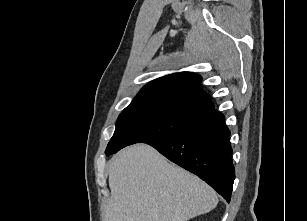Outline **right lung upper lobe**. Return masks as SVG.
<instances>
[{
    "mask_svg": "<svg viewBox=\"0 0 307 221\" xmlns=\"http://www.w3.org/2000/svg\"><path fill=\"white\" fill-rule=\"evenodd\" d=\"M201 77L189 73H174L151 81L144 86L132 102H183L214 109L209 96L200 88Z\"/></svg>",
    "mask_w": 307,
    "mask_h": 221,
    "instance_id": "1",
    "label": "right lung upper lobe"
}]
</instances>
